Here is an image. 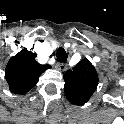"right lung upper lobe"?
Here are the masks:
<instances>
[{"label": "right lung upper lobe", "mask_w": 124, "mask_h": 124, "mask_svg": "<svg viewBox=\"0 0 124 124\" xmlns=\"http://www.w3.org/2000/svg\"><path fill=\"white\" fill-rule=\"evenodd\" d=\"M35 57V53L22 49L10 58L6 65L5 78L11 92L27 93L37 83L39 76L51 68L50 65H40Z\"/></svg>", "instance_id": "right-lung-upper-lobe-1"}]
</instances>
